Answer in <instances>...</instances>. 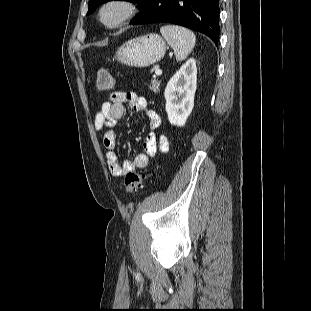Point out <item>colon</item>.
Segmentation results:
<instances>
[{
    "mask_svg": "<svg viewBox=\"0 0 311 311\" xmlns=\"http://www.w3.org/2000/svg\"><path fill=\"white\" fill-rule=\"evenodd\" d=\"M114 78L112 73L101 68L97 71L96 89L99 92H108L113 88ZM144 175L137 172H128L125 177V192L128 195L135 194L142 186Z\"/></svg>",
    "mask_w": 311,
    "mask_h": 311,
    "instance_id": "obj_1",
    "label": "colon"
}]
</instances>
